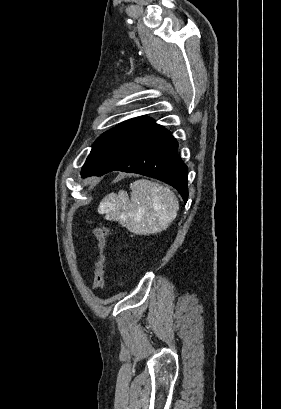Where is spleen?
I'll use <instances>...</instances> for the list:
<instances>
[{"mask_svg": "<svg viewBox=\"0 0 281 409\" xmlns=\"http://www.w3.org/2000/svg\"><path fill=\"white\" fill-rule=\"evenodd\" d=\"M131 198L126 190L110 192L101 200L98 213L107 221H119L135 235H158L168 229L177 217L179 202L176 194L159 182H131Z\"/></svg>", "mask_w": 281, "mask_h": 409, "instance_id": "1", "label": "spleen"}]
</instances>
